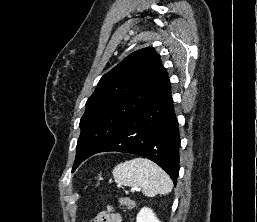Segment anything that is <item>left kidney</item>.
Segmentation results:
<instances>
[{
  "label": "left kidney",
  "mask_w": 257,
  "mask_h": 222,
  "mask_svg": "<svg viewBox=\"0 0 257 222\" xmlns=\"http://www.w3.org/2000/svg\"><path fill=\"white\" fill-rule=\"evenodd\" d=\"M136 222H161V221L157 219L155 213H153V211L150 208L144 207L137 214Z\"/></svg>",
  "instance_id": "obj_1"
}]
</instances>
